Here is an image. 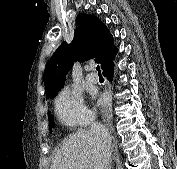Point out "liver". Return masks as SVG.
I'll return each mask as SVG.
<instances>
[{"mask_svg":"<svg viewBox=\"0 0 177 169\" xmlns=\"http://www.w3.org/2000/svg\"><path fill=\"white\" fill-rule=\"evenodd\" d=\"M100 144L91 130L70 135L57 151L50 169H101Z\"/></svg>","mask_w":177,"mask_h":169,"instance_id":"6515ba94","label":"liver"}]
</instances>
